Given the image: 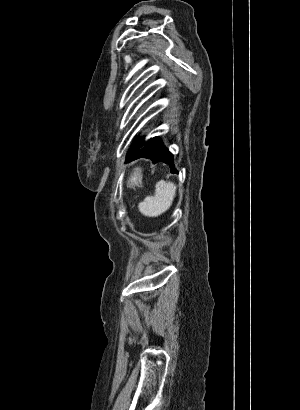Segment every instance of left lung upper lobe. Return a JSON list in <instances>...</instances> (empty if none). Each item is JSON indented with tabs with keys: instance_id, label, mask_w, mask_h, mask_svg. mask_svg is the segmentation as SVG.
<instances>
[{
	"instance_id": "5c2ea615",
	"label": "left lung upper lobe",
	"mask_w": 300,
	"mask_h": 410,
	"mask_svg": "<svg viewBox=\"0 0 300 410\" xmlns=\"http://www.w3.org/2000/svg\"><path fill=\"white\" fill-rule=\"evenodd\" d=\"M142 145H143V141H142V140L137 141V142L132 146V148L129 150L127 157H129V156H131L132 154H134L137 150H139V149L142 147Z\"/></svg>"
}]
</instances>
